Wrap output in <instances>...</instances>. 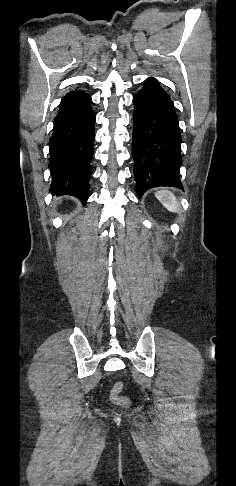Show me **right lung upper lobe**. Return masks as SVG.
I'll return each instance as SVG.
<instances>
[{"label": "right lung upper lobe", "mask_w": 236, "mask_h": 486, "mask_svg": "<svg viewBox=\"0 0 236 486\" xmlns=\"http://www.w3.org/2000/svg\"><path fill=\"white\" fill-rule=\"evenodd\" d=\"M84 94V92H80V91H71L69 92L63 99H68V98H73V97H77L79 95H82Z\"/></svg>", "instance_id": "cb5924a9"}]
</instances>
